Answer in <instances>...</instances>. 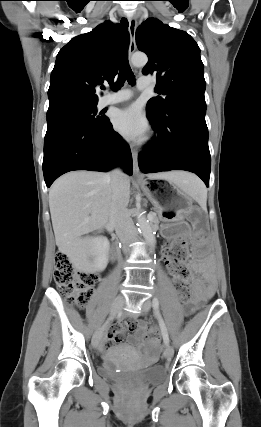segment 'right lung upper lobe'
Returning <instances> with one entry per match:
<instances>
[{"mask_svg": "<svg viewBox=\"0 0 261 427\" xmlns=\"http://www.w3.org/2000/svg\"><path fill=\"white\" fill-rule=\"evenodd\" d=\"M129 35L110 21L72 38L57 54L48 90L49 109L97 105V88L112 84Z\"/></svg>", "mask_w": 261, "mask_h": 427, "instance_id": "cb5924a9", "label": "right lung upper lobe"}]
</instances>
